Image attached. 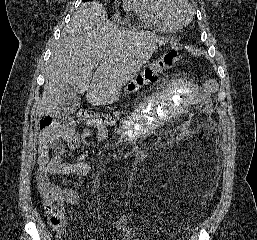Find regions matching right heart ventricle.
I'll return each mask as SVG.
<instances>
[{"label":"right heart ventricle","instance_id":"obj_1","mask_svg":"<svg viewBox=\"0 0 257 240\" xmlns=\"http://www.w3.org/2000/svg\"><path fill=\"white\" fill-rule=\"evenodd\" d=\"M126 6L134 10L148 26L163 32H173L178 25L169 12L168 0H127Z\"/></svg>","mask_w":257,"mask_h":240}]
</instances>
